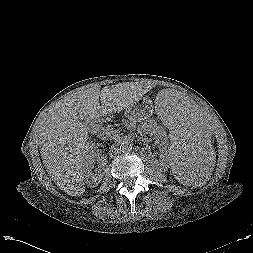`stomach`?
Masks as SVG:
<instances>
[{
    "instance_id": "0dacf381",
    "label": "stomach",
    "mask_w": 253,
    "mask_h": 253,
    "mask_svg": "<svg viewBox=\"0 0 253 253\" xmlns=\"http://www.w3.org/2000/svg\"><path fill=\"white\" fill-rule=\"evenodd\" d=\"M154 113V106L151 100L143 98L135 102L132 106L125 109V115L128 119L141 122L149 119Z\"/></svg>"
}]
</instances>
